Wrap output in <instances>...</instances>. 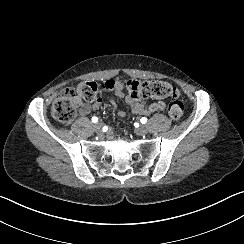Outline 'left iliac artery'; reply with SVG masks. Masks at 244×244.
<instances>
[{"label": "left iliac artery", "instance_id": "obj_1", "mask_svg": "<svg viewBox=\"0 0 244 244\" xmlns=\"http://www.w3.org/2000/svg\"><path fill=\"white\" fill-rule=\"evenodd\" d=\"M140 121H141L142 124H145L147 122V118L146 117H142Z\"/></svg>", "mask_w": 244, "mask_h": 244}]
</instances>
